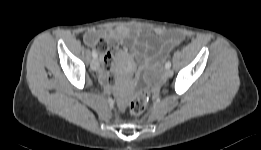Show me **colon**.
Returning a JSON list of instances; mask_svg holds the SVG:
<instances>
[{
	"label": "colon",
	"mask_w": 261,
	"mask_h": 150,
	"mask_svg": "<svg viewBox=\"0 0 261 150\" xmlns=\"http://www.w3.org/2000/svg\"><path fill=\"white\" fill-rule=\"evenodd\" d=\"M148 100L149 91L147 89H141L134 95L130 103V112L133 115H141L147 107Z\"/></svg>",
	"instance_id": "colon-1"
}]
</instances>
